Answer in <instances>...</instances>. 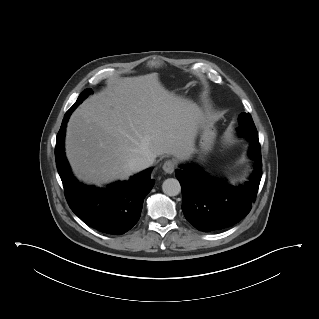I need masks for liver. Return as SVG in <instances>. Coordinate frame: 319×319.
Segmentation results:
<instances>
[{"instance_id":"6515ba94","label":"liver","mask_w":319,"mask_h":319,"mask_svg":"<svg viewBox=\"0 0 319 319\" xmlns=\"http://www.w3.org/2000/svg\"><path fill=\"white\" fill-rule=\"evenodd\" d=\"M203 118L196 104L165 89L158 73L115 79L71 115L66 155L86 183L126 180L137 157H190Z\"/></svg>"}]
</instances>
